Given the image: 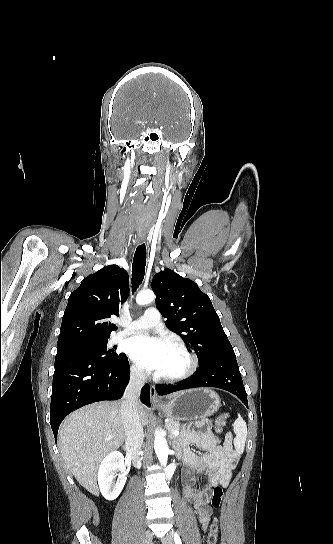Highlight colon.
Returning a JSON list of instances; mask_svg holds the SVG:
<instances>
[{
	"label": "colon",
	"mask_w": 333,
	"mask_h": 544,
	"mask_svg": "<svg viewBox=\"0 0 333 544\" xmlns=\"http://www.w3.org/2000/svg\"><path fill=\"white\" fill-rule=\"evenodd\" d=\"M229 418H230L229 412H224L217 417L215 421V430L217 433L222 432ZM222 498H223L222 486H216L211 496L212 507L215 509L219 508L222 502ZM217 536H218L217 519H214L209 527V532L207 535V544H217Z\"/></svg>",
	"instance_id": "obj_1"
}]
</instances>
